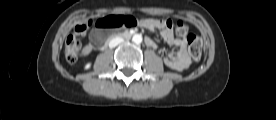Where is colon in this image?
Returning <instances> with one entry per match:
<instances>
[{
    "label": "colon",
    "instance_id": "colon-1",
    "mask_svg": "<svg viewBox=\"0 0 276 120\" xmlns=\"http://www.w3.org/2000/svg\"><path fill=\"white\" fill-rule=\"evenodd\" d=\"M92 21H86L78 24L75 27L74 33L69 35L65 44V57L68 62H75L80 52V36L92 25ZM142 19L138 15L128 16L120 13H114L111 16L100 18L95 22V27L98 28V39L101 41L103 38L102 30L107 28L121 27L124 29H135L140 27ZM166 24L171 26L172 22L166 20ZM176 34L185 39L188 44V51L194 59H199L202 54V40L200 37L189 33L187 25L178 21L175 26Z\"/></svg>",
    "mask_w": 276,
    "mask_h": 120
}]
</instances>
